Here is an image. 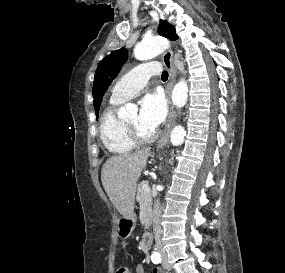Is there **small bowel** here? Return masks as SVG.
<instances>
[{"label":"small bowel","instance_id":"1","mask_svg":"<svg viewBox=\"0 0 285 273\" xmlns=\"http://www.w3.org/2000/svg\"><path fill=\"white\" fill-rule=\"evenodd\" d=\"M129 273H144V269L141 265H137L134 271ZM153 273H163V271L160 269H155Z\"/></svg>","mask_w":285,"mask_h":273}]
</instances>
